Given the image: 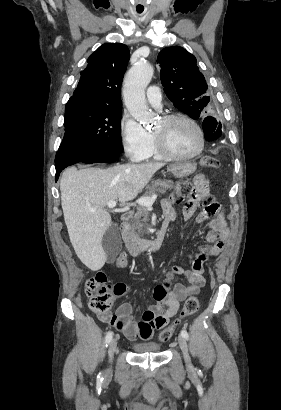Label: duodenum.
<instances>
[{
    "mask_svg": "<svg viewBox=\"0 0 281 410\" xmlns=\"http://www.w3.org/2000/svg\"><path fill=\"white\" fill-rule=\"evenodd\" d=\"M131 216H132V212H126L121 217V229L124 232H125L126 224L131 218ZM167 228L168 226L166 224H163L160 230L158 231L156 238L153 240L135 238L133 236L125 234L124 241H125L127 251L131 255L136 256L147 248L154 249V250L161 248L166 238Z\"/></svg>",
    "mask_w": 281,
    "mask_h": 410,
    "instance_id": "1",
    "label": "duodenum"
}]
</instances>
